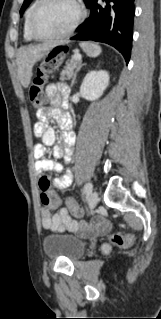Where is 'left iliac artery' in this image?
<instances>
[{
    "label": "left iliac artery",
    "mask_w": 161,
    "mask_h": 319,
    "mask_svg": "<svg viewBox=\"0 0 161 319\" xmlns=\"http://www.w3.org/2000/svg\"><path fill=\"white\" fill-rule=\"evenodd\" d=\"M92 189H93L92 184L88 182L83 188V195L91 193Z\"/></svg>",
    "instance_id": "left-iliac-artery-1"
}]
</instances>
